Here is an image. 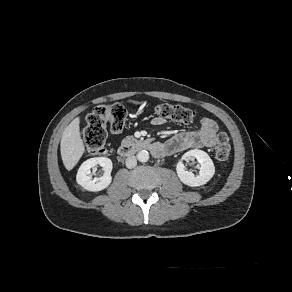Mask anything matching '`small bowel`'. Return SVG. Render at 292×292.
I'll use <instances>...</instances> for the list:
<instances>
[{
	"instance_id": "obj_1",
	"label": "small bowel",
	"mask_w": 292,
	"mask_h": 292,
	"mask_svg": "<svg viewBox=\"0 0 292 292\" xmlns=\"http://www.w3.org/2000/svg\"><path fill=\"white\" fill-rule=\"evenodd\" d=\"M164 122L165 120L159 116L154 117L151 121L154 126H160ZM216 132V122L204 117L200 120L197 129L176 134L165 142L156 143V151L154 153L162 156L192 148L213 147L215 145Z\"/></svg>"
}]
</instances>
